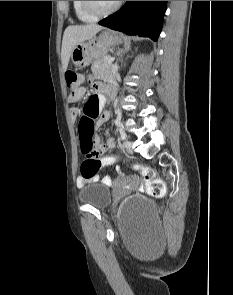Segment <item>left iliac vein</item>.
<instances>
[{
	"mask_svg": "<svg viewBox=\"0 0 233 295\" xmlns=\"http://www.w3.org/2000/svg\"><path fill=\"white\" fill-rule=\"evenodd\" d=\"M128 153H133L132 141L129 140V145H124Z\"/></svg>",
	"mask_w": 233,
	"mask_h": 295,
	"instance_id": "obj_1",
	"label": "left iliac vein"
}]
</instances>
